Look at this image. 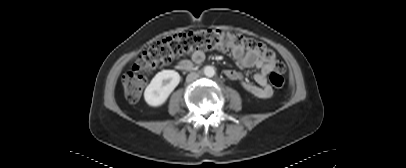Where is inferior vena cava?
I'll list each match as a JSON object with an SVG mask.
<instances>
[{
  "mask_svg": "<svg viewBox=\"0 0 406 168\" xmlns=\"http://www.w3.org/2000/svg\"><path fill=\"white\" fill-rule=\"evenodd\" d=\"M199 78V74L196 72H191L186 77V82L191 83Z\"/></svg>",
  "mask_w": 406,
  "mask_h": 168,
  "instance_id": "1",
  "label": "inferior vena cava"
}]
</instances>
